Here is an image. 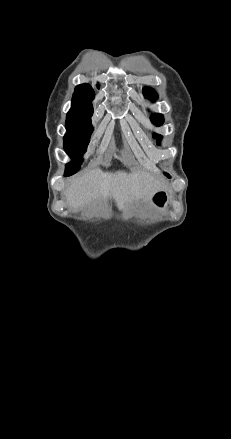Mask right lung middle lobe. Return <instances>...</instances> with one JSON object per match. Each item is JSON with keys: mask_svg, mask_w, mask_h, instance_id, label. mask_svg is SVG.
<instances>
[{"mask_svg": "<svg viewBox=\"0 0 231 439\" xmlns=\"http://www.w3.org/2000/svg\"><path fill=\"white\" fill-rule=\"evenodd\" d=\"M93 113H70L67 114L66 129L64 136V149L73 159L66 166V171L76 173L82 162V155L86 152L93 131L91 116Z\"/></svg>", "mask_w": 231, "mask_h": 439, "instance_id": "dd1d6c3e", "label": "right lung middle lobe"}]
</instances>
